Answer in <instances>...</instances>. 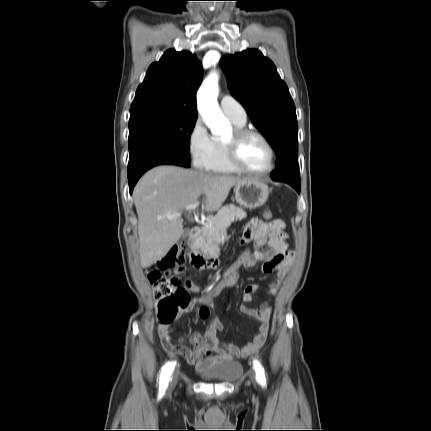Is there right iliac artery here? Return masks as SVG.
Returning <instances> with one entry per match:
<instances>
[{"label": "right iliac artery", "mask_w": 431, "mask_h": 431, "mask_svg": "<svg viewBox=\"0 0 431 431\" xmlns=\"http://www.w3.org/2000/svg\"><path fill=\"white\" fill-rule=\"evenodd\" d=\"M174 366H175L174 362H168L162 367L161 374H160V387H159L160 392H164L165 389L167 388L171 374L174 370Z\"/></svg>", "instance_id": "82829eb1"}]
</instances>
